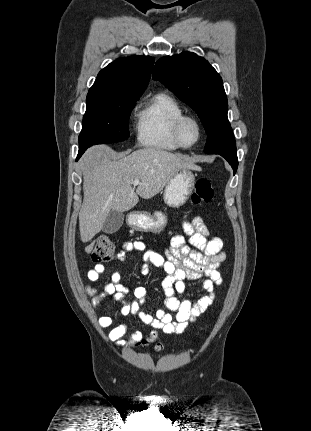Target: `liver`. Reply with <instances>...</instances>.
Instances as JSON below:
<instances>
[{"instance_id":"obj_1","label":"liver","mask_w":311,"mask_h":431,"mask_svg":"<svg viewBox=\"0 0 311 431\" xmlns=\"http://www.w3.org/2000/svg\"><path fill=\"white\" fill-rule=\"evenodd\" d=\"M130 152L116 154L108 146H93L80 160L84 200L79 212V229L85 243L102 229L110 212L132 210L139 196L143 200L154 198L183 168L201 170L192 158L158 148ZM107 154H112L113 160H109ZM133 180H140L136 190L132 188ZM95 241L86 245L87 253H91Z\"/></svg>"}]
</instances>
